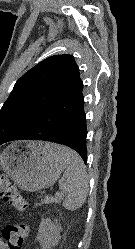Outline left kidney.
I'll list each match as a JSON object with an SVG mask.
<instances>
[{"instance_id": "left-kidney-1", "label": "left kidney", "mask_w": 135, "mask_h": 249, "mask_svg": "<svg viewBox=\"0 0 135 249\" xmlns=\"http://www.w3.org/2000/svg\"><path fill=\"white\" fill-rule=\"evenodd\" d=\"M61 225L57 220L51 221L50 218H43L40 222L37 240L42 246V249H51L55 247L61 236Z\"/></svg>"}]
</instances>
